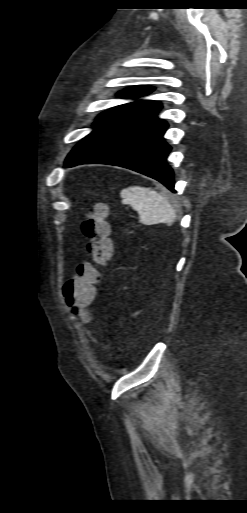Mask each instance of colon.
<instances>
[{
    "instance_id": "1",
    "label": "colon",
    "mask_w": 247,
    "mask_h": 513,
    "mask_svg": "<svg viewBox=\"0 0 247 513\" xmlns=\"http://www.w3.org/2000/svg\"><path fill=\"white\" fill-rule=\"evenodd\" d=\"M108 209L99 205L90 211L81 225L87 239L86 249L91 261L81 263L62 287L65 304L82 321L88 322L90 314L86 305L93 299L96 287L101 281L100 268L111 256L110 224Z\"/></svg>"
}]
</instances>
